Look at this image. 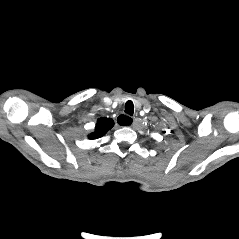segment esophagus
Wrapping results in <instances>:
<instances>
[{"label":"esophagus","mask_w":239,"mask_h":239,"mask_svg":"<svg viewBox=\"0 0 239 239\" xmlns=\"http://www.w3.org/2000/svg\"><path fill=\"white\" fill-rule=\"evenodd\" d=\"M117 122L121 126H126V125L135 126L137 123V119L133 117H128L125 115H120L117 118Z\"/></svg>","instance_id":"obj_1"}]
</instances>
